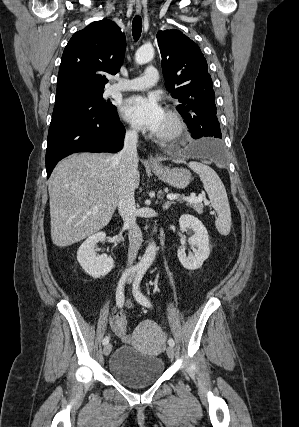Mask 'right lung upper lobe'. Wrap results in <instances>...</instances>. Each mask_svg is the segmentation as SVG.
I'll list each match as a JSON object with an SVG mask.
<instances>
[{
	"label": "right lung upper lobe",
	"instance_id": "obj_1",
	"mask_svg": "<svg viewBox=\"0 0 299 427\" xmlns=\"http://www.w3.org/2000/svg\"><path fill=\"white\" fill-rule=\"evenodd\" d=\"M125 48V35L110 20L93 22L76 32L62 55L55 102L104 92L105 74L120 70Z\"/></svg>",
	"mask_w": 299,
	"mask_h": 427
}]
</instances>
